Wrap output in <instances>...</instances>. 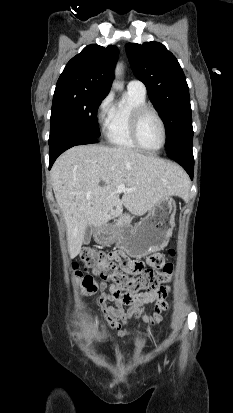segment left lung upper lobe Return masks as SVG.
Instances as JSON below:
<instances>
[{
  "mask_svg": "<svg viewBox=\"0 0 233 413\" xmlns=\"http://www.w3.org/2000/svg\"><path fill=\"white\" fill-rule=\"evenodd\" d=\"M126 51L134 74L145 84L165 123L166 151L192 148L189 88L175 56L159 42L128 43Z\"/></svg>",
  "mask_w": 233,
  "mask_h": 413,
  "instance_id": "1",
  "label": "left lung upper lobe"
}]
</instances>
